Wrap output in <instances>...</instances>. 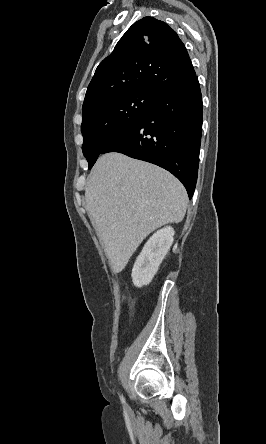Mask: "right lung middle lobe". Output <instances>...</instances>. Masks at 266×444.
<instances>
[{"mask_svg":"<svg viewBox=\"0 0 266 444\" xmlns=\"http://www.w3.org/2000/svg\"><path fill=\"white\" fill-rule=\"evenodd\" d=\"M157 95L127 91L106 97L83 111L82 151L92 168L106 145L149 114Z\"/></svg>","mask_w":266,"mask_h":444,"instance_id":"dd1d6c3e","label":"right lung middle lobe"}]
</instances>
